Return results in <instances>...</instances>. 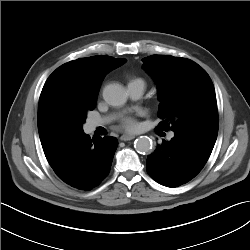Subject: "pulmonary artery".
<instances>
[{
  "mask_svg": "<svg viewBox=\"0 0 250 250\" xmlns=\"http://www.w3.org/2000/svg\"><path fill=\"white\" fill-rule=\"evenodd\" d=\"M127 92L132 99H139L144 93V83L140 80L130 81L127 84ZM112 116H106L100 119H92L88 122V127L90 130H94L97 127L104 126L112 120ZM174 134L169 133L168 137L172 138Z\"/></svg>",
  "mask_w": 250,
  "mask_h": 250,
  "instance_id": "obj_1",
  "label": "pulmonary artery"
}]
</instances>
